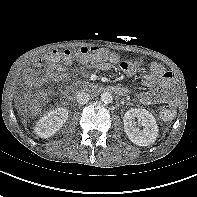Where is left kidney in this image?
<instances>
[{
  "label": "left kidney",
  "instance_id": "1",
  "mask_svg": "<svg viewBox=\"0 0 197 197\" xmlns=\"http://www.w3.org/2000/svg\"><path fill=\"white\" fill-rule=\"evenodd\" d=\"M137 118L143 129L135 127L134 119ZM124 131L128 138L138 146H148L156 141L158 125L155 117L146 109L132 108L124 117Z\"/></svg>",
  "mask_w": 197,
  "mask_h": 197
}]
</instances>
